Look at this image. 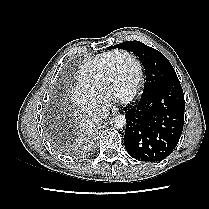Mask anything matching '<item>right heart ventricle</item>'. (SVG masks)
<instances>
[{
	"label": "right heart ventricle",
	"instance_id": "right-heart-ventricle-1",
	"mask_svg": "<svg viewBox=\"0 0 209 209\" xmlns=\"http://www.w3.org/2000/svg\"><path fill=\"white\" fill-rule=\"evenodd\" d=\"M114 53L103 52L87 60L77 72V86L101 96L104 71Z\"/></svg>",
	"mask_w": 209,
	"mask_h": 209
}]
</instances>
